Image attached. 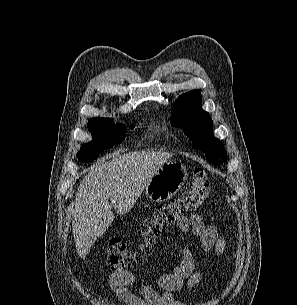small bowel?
<instances>
[{"mask_svg": "<svg viewBox=\"0 0 297 305\" xmlns=\"http://www.w3.org/2000/svg\"><path fill=\"white\" fill-rule=\"evenodd\" d=\"M181 234L194 235L205 252H211L215 258L223 255L226 240L220 237L216 228L207 224L199 215L182 217L176 223ZM202 278V270L195 267V258L188 248L180 252V259L171 270L157 276L155 284L138 283L130 271H114L109 283L116 295L127 305H180L174 299V293L197 286ZM139 287V294L130 289ZM161 289L162 292H159Z\"/></svg>", "mask_w": 297, "mask_h": 305, "instance_id": "obj_1", "label": "small bowel"}]
</instances>
